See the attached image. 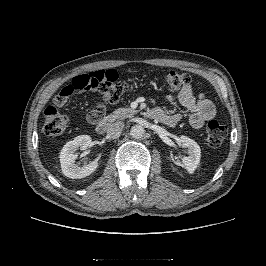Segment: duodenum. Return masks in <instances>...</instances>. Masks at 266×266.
<instances>
[{"label": "duodenum", "mask_w": 266, "mask_h": 266, "mask_svg": "<svg viewBox=\"0 0 266 266\" xmlns=\"http://www.w3.org/2000/svg\"><path fill=\"white\" fill-rule=\"evenodd\" d=\"M147 117L150 119L163 121L165 119V114L163 111L157 108H153L147 111ZM89 120L95 125L97 133L103 135L105 134L112 124V120L103 116L99 112H91L89 114Z\"/></svg>", "instance_id": "410a0bca"}]
</instances>
